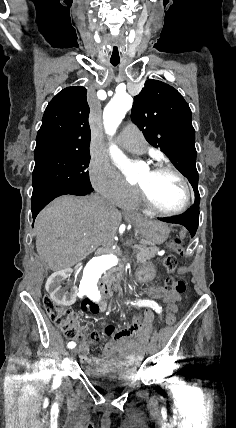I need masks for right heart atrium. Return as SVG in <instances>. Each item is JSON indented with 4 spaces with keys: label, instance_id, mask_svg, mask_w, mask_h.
<instances>
[{
    "label": "right heart atrium",
    "instance_id": "1",
    "mask_svg": "<svg viewBox=\"0 0 236 428\" xmlns=\"http://www.w3.org/2000/svg\"><path fill=\"white\" fill-rule=\"evenodd\" d=\"M89 179L103 200H111V206H125L135 195L134 188L120 179L105 160L91 161Z\"/></svg>",
    "mask_w": 236,
    "mask_h": 428
}]
</instances>
